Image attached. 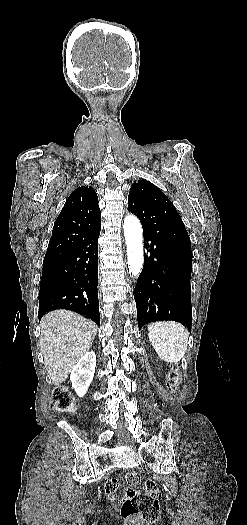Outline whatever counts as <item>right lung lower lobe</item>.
<instances>
[{
	"label": "right lung lower lobe",
	"instance_id": "1",
	"mask_svg": "<svg viewBox=\"0 0 247 525\" xmlns=\"http://www.w3.org/2000/svg\"><path fill=\"white\" fill-rule=\"evenodd\" d=\"M45 259L39 290V320L55 309H67L100 324L98 303V237Z\"/></svg>",
	"mask_w": 247,
	"mask_h": 525
}]
</instances>
